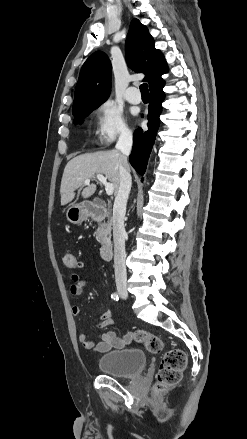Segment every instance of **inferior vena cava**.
Masks as SVG:
<instances>
[{
    "label": "inferior vena cava",
    "instance_id": "obj_1",
    "mask_svg": "<svg viewBox=\"0 0 247 439\" xmlns=\"http://www.w3.org/2000/svg\"><path fill=\"white\" fill-rule=\"evenodd\" d=\"M116 149L120 151V184L115 197L113 206V239H114V268L117 289L127 287V273L125 266V238L124 217L126 205L131 190L132 179L130 175L127 157L132 149V134L130 131H122L116 144Z\"/></svg>",
    "mask_w": 247,
    "mask_h": 439
}]
</instances>
